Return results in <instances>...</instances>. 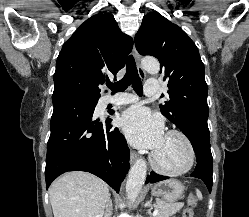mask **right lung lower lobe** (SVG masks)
I'll list each match as a JSON object with an SVG mask.
<instances>
[{"label": "right lung lower lobe", "instance_id": "98d812e1", "mask_svg": "<svg viewBox=\"0 0 249 217\" xmlns=\"http://www.w3.org/2000/svg\"><path fill=\"white\" fill-rule=\"evenodd\" d=\"M52 101L54 110L45 168L47 189L55 178L67 171H86L119 192L129 169V150L118 128L108 125L111 115L105 122L94 119L98 100L92 103L72 94L59 93L52 96Z\"/></svg>", "mask_w": 249, "mask_h": 217}]
</instances>
